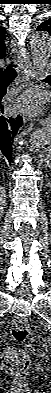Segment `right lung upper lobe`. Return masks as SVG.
Wrapping results in <instances>:
<instances>
[{
  "label": "right lung upper lobe",
  "mask_w": 51,
  "mask_h": 393,
  "mask_svg": "<svg viewBox=\"0 0 51 393\" xmlns=\"http://www.w3.org/2000/svg\"><path fill=\"white\" fill-rule=\"evenodd\" d=\"M5 34H6V30L2 26H0V59L6 56V48L4 43ZM1 70L2 68H0V71Z\"/></svg>",
  "instance_id": "cb5924a9"
}]
</instances>
